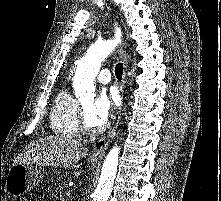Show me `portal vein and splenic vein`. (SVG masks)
Returning <instances> with one entry per match:
<instances>
[{
    "instance_id": "portal-vein-and-splenic-vein-1",
    "label": "portal vein and splenic vein",
    "mask_w": 221,
    "mask_h": 201,
    "mask_svg": "<svg viewBox=\"0 0 221 201\" xmlns=\"http://www.w3.org/2000/svg\"><path fill=\"white\" fill-rule=\"evenodd\" d=\"M71 194H70V192L68 191V192H66V196H70Z\"/></svg>"
}]
</instances>
